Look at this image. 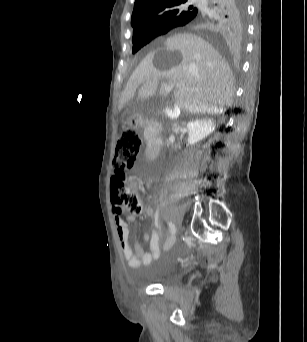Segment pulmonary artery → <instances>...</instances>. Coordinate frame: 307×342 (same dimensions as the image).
I'll return each instance as SVG.
<instances>
[{
	"instance_id": "1",
	"label": "pulmonary artery",
	"mask_w": 307,
	"mask_h": 342,
	"mask_svg": "<svg viewBox=\"0 0 307 342\" xmlns=\"http://www.w3.org/2000/svg\"><path fill=\"white\" fill-rule=\"evenodd\" d=\"M199 2H201V8L205 12L207 10V6H206V3H205L206 1H199Z\"/></svg>"
}]
</instances>
